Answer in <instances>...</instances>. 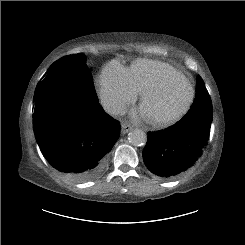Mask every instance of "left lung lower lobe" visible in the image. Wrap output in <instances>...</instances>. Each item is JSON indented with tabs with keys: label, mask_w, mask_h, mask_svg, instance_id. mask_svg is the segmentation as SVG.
I'll use <instances>...</instances> for the list:
<instances>
[{
	"label": "left lung lower lobe",
	"mask_w": 245,
	"mask_h": 245,
	"mask_svg": "<svg viewBox=\"0 0 245 245\" xmlns=\"http://www.w3.org/2000/svg\"><path fill=\"white\" fill-rule=\"evenodd\" d=\"M195 98L200 99L197 104L206 111H201V121H179L160 132H148L143 159L147 168L161 178L171 179L187 171L202 156L207 146L212 109L202 80L197 82Z\"/></svg>",
	"instance_id": "1"
}]
</instances>
